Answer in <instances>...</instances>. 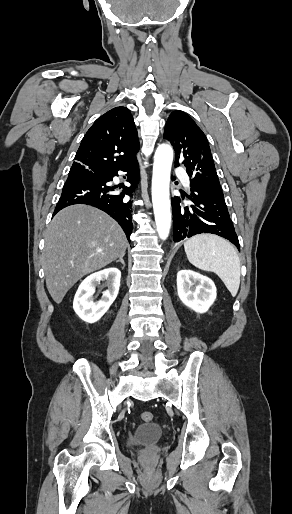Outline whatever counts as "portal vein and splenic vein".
<instances>
[{"instance_id": "1", "label": "portal vein and splenic vein", "mask_w": 292, "mask_h": 514, "mask_svg": "<svg viewBox=\"0 0 292 514\" xmlns=\"http://www.w3.org/2000/svg\"><path fill=\"white\" fill-rule=\"evenodd\" d=\"M97 252H102V250H97Z\"/></svg>"}]
</instances>
